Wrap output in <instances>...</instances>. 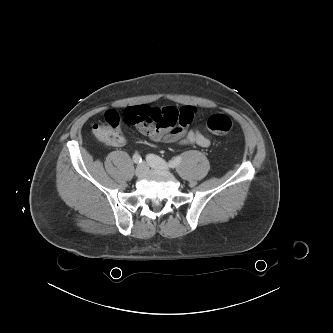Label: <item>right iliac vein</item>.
Here are the masks:
<instances>
[{
  "instance_id": "63e3f726",
  "label": "right iliac vein",
  "mask_w": 333,
  "mask_h": 333,
  "mask_svg": "<svg viewBox=\"0 0 333 333\" xmlns=\"http://www.w3.org/2000/svg\"><path fill=\"white\" fill-rule=\"evenodd\" d=\"M147 169V166L145 163L139 164L135 170V174L137 177H141L144 175L145 171Z\"/></svg>"
}]
</instances>
